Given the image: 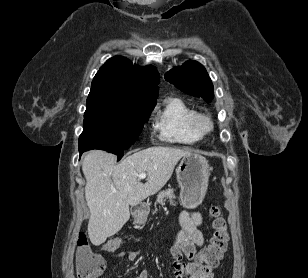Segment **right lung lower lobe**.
<instances>
[{"label":"right lung lower lobe","instance_id":"1","mask_svg":"<svg viewBox=\"0 0 308 278\" xmlns=\"http://www.w3.org/2000/svg\"><path fill=\"white\" fill-rule=\"evenodd\" d=\"M80 152V155L83 153V152H85L84 150H82V151H79Z\"/></svg>","mask_w":308,"mask_h":278}]
</instances>
